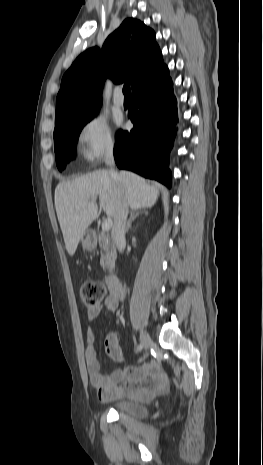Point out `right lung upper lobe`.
I'll return each instance as SVG.
<instances>
[{
  "label": "right lung upper lobe",
  "instance_id": "cb5924a9",
  "mask_svg": "<svg viewBox=\"0 0 263 465\" xmlns=\"http://www.w3.org/2000/svg\"><path fill=\"white\" fill-rule=\"evenodd\" d=\"M165 66L154 31L139 20L125 19L101 50L95 47L85 51L64 74L55 123L74 111L101 105L107 77L116 84L130 83L133 91Z\"/></svg>",
  "mask_w": 263,
  "mask_h": 465
}]
</instances>
